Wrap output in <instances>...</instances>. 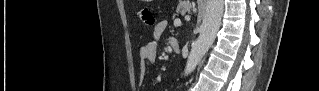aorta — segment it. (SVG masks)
Segmentation results:
<instances>
[{"mask_svg": "<svg viewBox=\"0 0 319 91\" xmlns=\"http://www.w3.org/2000/svg\"><path fill=\"white\" fill-rule=\"evenodd\" d=\"M223 10L224 0H207L205 15L200 26L199 37L193 42L186 62L184 70L185 76L195 70L203 56L214 43L220 28Z\"/></svg>", "mask_w": 319, "mask_h": 91, "instance_id": "aorta-1", "label": "aorta"}]
</instances>
